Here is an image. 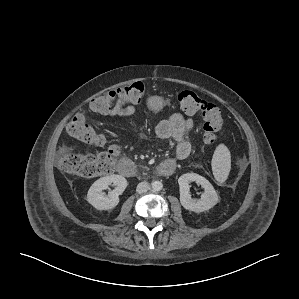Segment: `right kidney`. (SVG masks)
<instances>
[{
  "instance_id": "right-kidney-1",
  "label": "right kidney",
  "mask_w": 299,
  "mask_h": 299,
  "mask_svg": "<svg viewBox=\"0 0 299 299\" xmlns=\"http://www.w3.org/2000/svg\"><path fill=\"white\" fill-rule=\"evenodd\" d=\"M114 185L108 195L103 190ZM127 187V180L121 175H110L96 180L89 188L87 193V201L97 210H111L119 203V195H121Z\"/></svg>"
}]
</instances>
